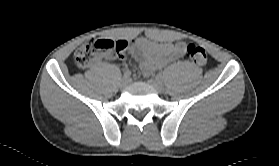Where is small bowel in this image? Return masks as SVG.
I'll use <instances>...</instances> for the list:
<instances>
[{"mask_svg": "<svg viewBox=\"0 0 279 166\" xmlns=\"http://www.w3.org/2000/svg\"><path fill=\"white\" fill-rule=\"evenodd\" d=\"M186 45L184 42L159 43L145 37L136 38L133 41L131 53L139 62L145 75H150L155 70L164 67L171 61L184 56ZM121 60L125 59V54L117 55ZM112 54L107 58L112 59Z\"/></svg>", "mask_w": 279, "mask_h": 166, "instance_id": "c3829d8e", "label": "small bowel"}]
</instances>
